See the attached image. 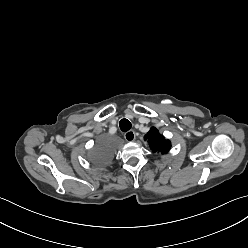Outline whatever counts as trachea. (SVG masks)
<instances>
[{"label":"trachea","mask_w":248,"mask_h":248,"mask_svg":"<svg viewBox=\"0 0 248 248\" xmlns=\"http://www.w3.org/2000/svg\"><path fill=\"white\" fill-rule=\"evenodd\" d=\"M131 126V122L128 119H121L119 122V127L123 132L130 130Z\"/></svg>","instance_id":"trachea-1"}]
</instances>
